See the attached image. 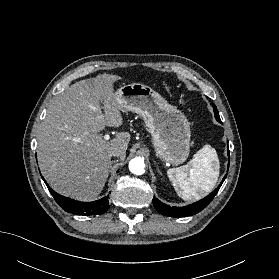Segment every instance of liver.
<instances>
[{"instance_id":"1","label":"liver","mask_w":279,"mask_h":279,"mask_svg":"<svg viewBox=\"0 0 279 279\" xmlns=\"http://www.w3.org/2000/svg\"><path fill=\"white\" fill-rule=\"evenodd\" d=\"M121 77L100 74L60 93L49 106L37 134L40 170L59 194L82 201L95 199L108 178L110 151L126 157L128 132L106 141L100 132L123 124L114 82Z\"/></svg>"}]
</instances>
